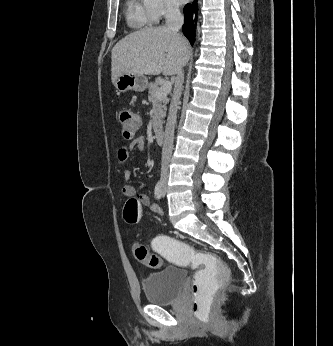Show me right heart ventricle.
<instances>
[{"label": "right heart ventricle", "mask_w": 333, "mask_h": 346, "mask_svg": "<svg viewBox=\"0 0 333 346\" xmlns=\"http://www.w3.org/2000/svg\"><path fill=\"white\" fill-rule=\"evenodd\" d=\"M126 18L128 24L134 28H141L152 24L142 0L127 1Z\"/></svg>", "instance_id": "1"}]
</instances>
